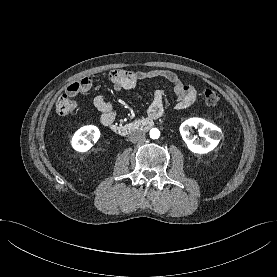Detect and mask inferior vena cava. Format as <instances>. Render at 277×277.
<instances>
[{"label":"inferior vena cava","mask_w":277,"mask_h":277,"mask_svg":"<svg viewBox=\"0 0 277 277\" xmlns=\"http://www.w3.org/2000/svg\"><path fill=\"white\" fill-rule=\"evenodd\" d=\"M145 139V133L141 131H134L129 135V140L132 143H138Z\"/></svg>","instance_id":"1"}]
</instances>
